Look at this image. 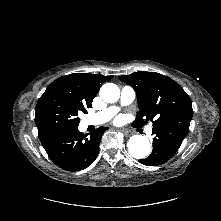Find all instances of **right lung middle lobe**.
Here are the masks:
<instances>
[{"instance_id": "right-lung-middle-lobe-1", "label": "right lung middle lobe", "mask_w": 221, "mask_h": 221, "mask_svg": "<svg viewBox=\"0 0 221 221\" xmlns=\"http://www.w3.org/2000/svg\"><path fill=\"white\" fill-rule=\"evenodd\" d=\"M83 104L60 91L44 93L36 105L35 123L41 141L61 132L78 129Z\"/></svg>"}]
</instances>
